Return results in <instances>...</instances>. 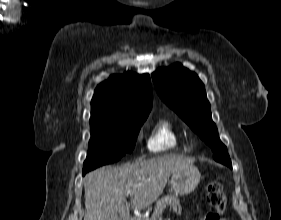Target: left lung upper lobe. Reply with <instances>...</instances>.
Here are the masks:
<instances>
[{
  "label": "left lung upper lobe",
  "instance_id": "5c2ea615",
  "mask_svg": "<svg viewBox=\"0 0 281 220\" xmlns=\"http://www.w3.org/2000/svg\"><path fill=\"white\" fill-rule=\"evenodd\" d=\"M157 93L213 151V158L230 168L232 164L226 146L220 141L211 119L210 104L204 84L198 76L176 63L152 74Z\"/></svg>",
  "mask_w": 281,
  "mask_h": 220
}]
</instances>
